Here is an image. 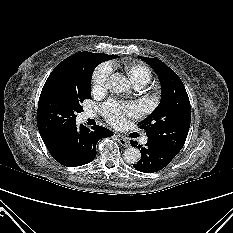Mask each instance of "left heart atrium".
<instances>
[{
    "mask_svg": "<svg viewBox=\"0 0 233 233\" xmlns=\"http://www.w3.org/2000/svg\"><path fill=\"white\" fill-rule=\"evenodd\" d=\"M103 115L106 120L116 126H123L129 117H136L141 113L140 106L135 102L109 101L103 105Z\"/></svg>",
    "mask_w": 233,
    "mask_h": 233,
    "instance_id": "1",
    "label": "left heart atrium"
}]
</instances>
